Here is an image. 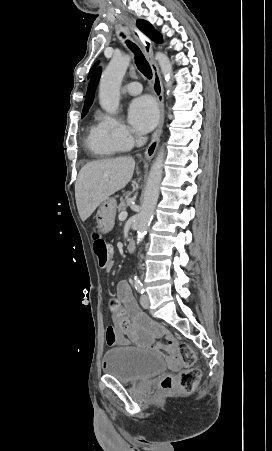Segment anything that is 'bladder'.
I'll list each match as a JSON object with an SVG mask.
<instances>
[{"mask_svg":"<svg viewBox=\"0 0 272 451\" xmlns=\"http://www.w3.org/2000/svg\"><path fill=\"white\" fill-rule=\"evenodd\" d=\"M167 362L162 354L145 352L140 349L116 347L104 354L106 375L116 376L122 384L141 382L165 373Z\"/></svg>","mask_w":272,"mask_h":451,"instance_id":"31cf9c89","label":"bladder"}]
</instances>
